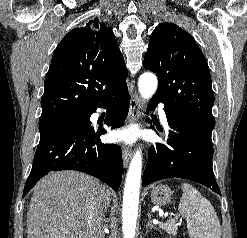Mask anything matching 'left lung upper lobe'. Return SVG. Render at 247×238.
<instances>
[{
	"mask_svg": "<svg viewBox=\"0 0 247 238\" xmlns=\"http://www.w3.org/2000/svg\"><path fill=\"white\" fill-rule=\"evenodd\" d=\"M143 66L157 74L159 85L153 97L167 112L214 128L210 71L192 36L174 23L158 25L151 34Z\"/></svg>",
	"mask_w": 247,
	"mask_h": 238,
	"instance_id": "5c2ea615",
	"label": "left lung upper lobe"
}]
</instances>
